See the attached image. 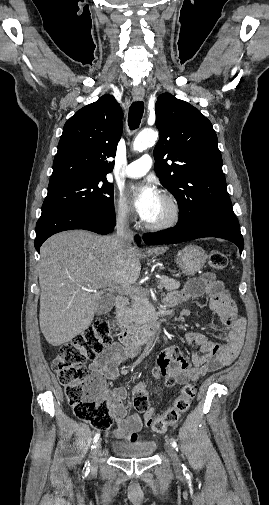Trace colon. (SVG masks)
Listing matches in <instances>:
<instances>
[{
  "mask_svg": "<svg viewBox=\"0 0 269 505\" xmlns=\"http://www.w3.org/2000/svg\"><path fill=\"white\" fill-rule=\"evenodd\" d=\"M227 264L225 253L219 250L210 252L209 266L212 270H222ZM111 342L110 322L96 321L72 341L63 344L52 362V369L65 387L67 401L75 415L98 430L109 429L112 416L105 401L104 382L100 376L88 371L86 363L100 355ZM166 381L168 385L174 384L172 379ZM196 392V383L185 384L172 406L156 417L149 407L148 395L143 386L135 389L133 404L138 412L143 413L149 429L155 433H164L175 426L189 409Z\"/></svg>",
  "mask_w": 269,
  "mask_h": 505,
  "instance_id": "colon-1",
  "label": "colon"
}]
</instances>
